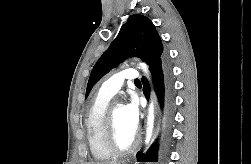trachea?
<instances>
[{
    "instance_id": "obj_1",
    "label": "trachea",
    "mask_w": 251,
    "mask_h": 164,
    "mask_svg": "<svg viewBox=\"0 0 251 164\" xmlns=\"http://www.w3.org/2000/svg\"><path fill=\"white\" fill-rule=\"evenodd\" d=\"M135 83H140V80H139V79H136V80H135Z\"/></svg>"
}]
</instances>
